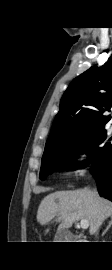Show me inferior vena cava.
Returning <instances> with one entry per match:
<instances>
[{
	"instance_id": "1",
	"label": "inferior vena cava",
	"mask_w": 112,
	"mask_h": 270,
	"mask_svg": "<svg viewBox=\"0 0 112 270\" xmlns=\"http://www.w3.org/2000/svg\"><path fill=\"white\" fill-rule=\"evenodd\" d=\"M93 193H94L95 195H98V192H97L96 189L93 190Z\"/></svg>"
}]
</instances>
